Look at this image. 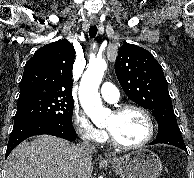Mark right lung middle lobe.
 I'll return each instance as SVG.
<instances>
[{"label":"right lung middle lobe","instance_id":"1","mask_svg":"<svg viewBox=\"0 0 194 178\" xmlns=\"http://www.w3.org/2000/svg\"><path fill=\"white\" fill-rule=\"evenodd\" d=\"M73 107V98L65 96L18 100L14 123L40 120L60 126H72Z\"/></svg>","mask_w":194,"mask_h":178}]
</instances>
